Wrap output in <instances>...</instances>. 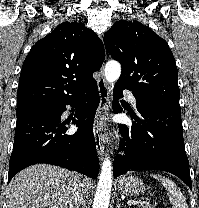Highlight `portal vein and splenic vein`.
Wrapping results in <instances>:
<instances>
[{"instance_id":"obj_1","label":"portal vein and splenic vein","mask_w":199,"mask_h":208,"mask_svg":"<svg viewBox=\"0 0 199 208\" xmlns=\"http://www.w3.org/2000/svg\"><path fill=\"white\" fill-rule=\"evenodd\" d=\"M136 204H148L147 202H145V201H129L128 202V205H136Z\"/></svg>"}]
</instances>
